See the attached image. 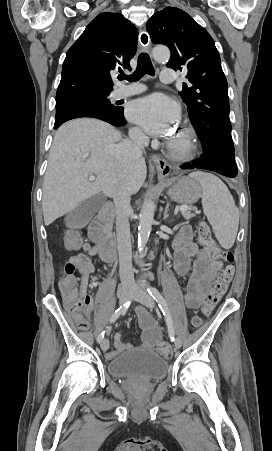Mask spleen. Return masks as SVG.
I'll return each instance as SVG.
<instances>
[{
	"instance_id": "1",
	"label": "spleen",
	"mask_w": 272,
	"mask_h": 451,
	"mask_svg": "<svg viewBox=\"0 0 272 451\" xmlns=\"http://www.w3.org/2000/svg\"><path fill=\"white\" fill-rule=\"evenodd\" d=\"M189 176L201 184L203 212L220 245L230 249L239 226V210L235 206L233 196L222 180L214 174L192 172Z\"/></svg>"
}]
</instances>
